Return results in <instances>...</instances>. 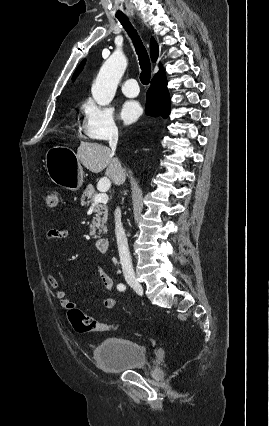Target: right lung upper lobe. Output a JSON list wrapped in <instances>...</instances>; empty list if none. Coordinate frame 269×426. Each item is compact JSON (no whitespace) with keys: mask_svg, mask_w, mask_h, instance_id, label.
Wrapping results in <instances>:
<instances>
[{"mask_svg":"<svg viewBox=\"0 0 269 426\" xmlns=\"http://www.w3.org/2000/svg\"><path fill=\"white\" fill-rule=\"evenodd\" d=\"M150 56H151V60L153 62H156L159 56V47L156 43V41L152 38L151 42H150ZM85 60L80 64V66L77 68V70L75 71L74 75H73V80L75 79V77L81 72V70L83 69ZM164 71L162 69L159 70V72L156 75H159L161 73H163ZM155 75V76H156Z\"/></svg>","mask_w":269,"mask_h":426,"instance_id":"cb5924a9","label":"right lung upper lobe"}]
</instances>
